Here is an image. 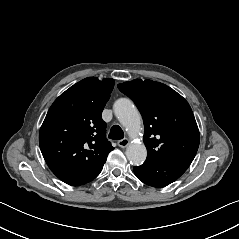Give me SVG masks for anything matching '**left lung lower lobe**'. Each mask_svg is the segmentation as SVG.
<instances>
[{"instance_id": "1", "label": "left lung lower lobe", "mask_w": 239, "mask_h": 239, "mask_svg": "<svg viewBox=\"0 0 239 239\" xmlns=\"http://www.w3.org/2000/svg\"><path fill=\"white\" fill-rule=\"evenodd\" d=\"M179 162H144L134 167V173L143 183L153 187H164L177 180L189 167Z\"/></svg>"}]
</instances>
